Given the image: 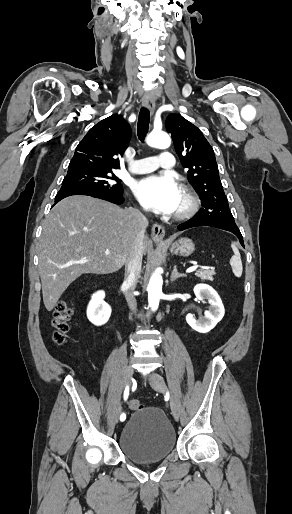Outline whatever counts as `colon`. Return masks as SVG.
Masks as SVG:
<instances>
[{
	"label": "colon",
	"mask_w": 292,
	"mask_h": 514,
	"mask_svg": "<svg viewBox=\"0 0 292 514\" xmlns=\"http://www.w3.org/2000/svg\"><path fill=\"white\" fill-rule=\"evenodd\" d=\"M71 313L72 309L69 302H59L57 304L50 323L52 328V341L57 346L62 345L65 340ZM127 405L131 410L136 412H140L144 408L140 401L134 398L129 399Z\"/></svg>",
	"instance_id": "1"
}]
</instances>
